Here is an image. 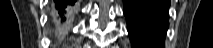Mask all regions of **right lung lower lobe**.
Masks as SVG:
<instances>
[{"label": "right lung lower lobe", "mask_w": 213, "mask_h": 48, "mask_svg": "<svg viewBox=\"0 0 213 48\" xmlns=\"http://www.w3.org/2000/svg\"><path fill=\"white\" fill-rule=\"evenodd\" d=\"M75 3V0H55V6L59 17H64L69 14L71 5ZM65 19V18H63Z\"/></svg>", "instance_id": "obj_1"}]
</instances>
